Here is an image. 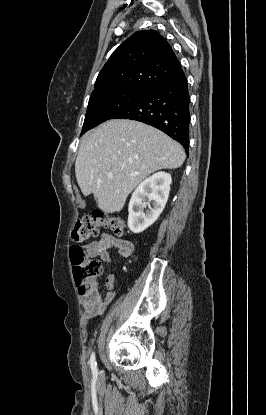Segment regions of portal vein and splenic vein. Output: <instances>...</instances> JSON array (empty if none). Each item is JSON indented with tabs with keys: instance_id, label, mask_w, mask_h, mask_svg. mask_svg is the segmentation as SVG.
<instances>
[{
	"instance_id": "1",
	"label": "portal vein and splenic vein",
	"mask_w": 266,
	"mask_h": 415,
	"mask_svg": "<svg viewBox=\"0 0 266 415\" xmlns=\"http://www.w3.org/2000/svg\"><path fill=\"white\" fill-rule=\"evenodd\" d=\"M107 177L108 178H112L113 177V173L112 172L107 173Z\"/></svg>"
}]
</instances>
